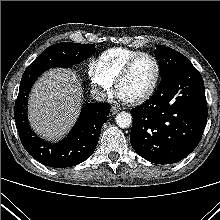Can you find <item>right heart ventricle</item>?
<instances>
[{"label": "right heart ventricle", "mask_w": 220, "mask_h": 220, "mask_svg": "<svg viewBox=\"0 0 220 220\" xmlns=\"http://www.w3.org/2000/svg\"><path fill=\"white\" fill-rule=\"evenodd\" d=\"M139 52L129 48L115 47L104 51L98 62L106 75L114 81L126 62Z\"/></svg>", "instance_id": "right-heart-ventricle-1"}]
</instances>
